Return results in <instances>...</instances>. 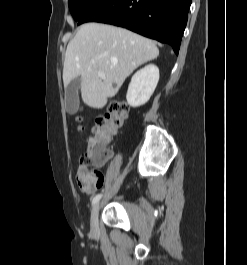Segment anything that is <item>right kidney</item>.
I'll return each mask as SVG.
<instances>
[{
	"label": "right kidney",
	"instance_id": "right-kidney-1",
	"mask_svg": "<svg viewBox=\"0 0 247 265\" xmlns=\"http://www.w3.org/2000/svg\"><path fill=\"white\" fill-rule=\"evenodd\" d=\"M158 81L159 69L156 65L150 64L137 71L128 87V104L134 108L144 105L153 94Z\"/></svg>",
	"mask_w": 247,
	"mask_h": 265
}]
</instances>
